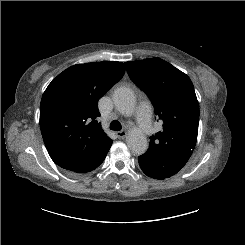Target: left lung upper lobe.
Here are the masks:
<instances>
[{"mask_svg":"<svg viewBox=\"0 0 245 245\" xmlns=\"http://www.w3.org/2000/svg\"><path fill=\"white\" fill-rule=\"evenodd\" d=\"M125 66L163 122V130L150 137L148 151L184 166L195 148L199 123V104L190 78L160 58L125 62Z\"/></svg>","mask_w":245,"mask_h":245,"instance_id":"obj_1","label":"left lung upper lobe"}]
</instances>
